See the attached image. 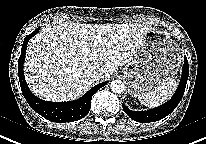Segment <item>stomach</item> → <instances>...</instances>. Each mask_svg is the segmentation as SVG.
<instances>
[{
    "label": "stomach",
    "instance_id": "1",
    "mask_svg": "<svg viewBox=\"0 0 206 144\" xmlns=\"http://www.w3.org/2000/svg\"><path fill=\"white\" fill-rule=\"evenodd\" d=\"M180 63L176 44L161 31L149 29L144 33L135 57L123 69L130 95L139 98L159 88L173 78Z\"/></svg>",
    "mask_w": 206,
    "mask_h": 144
}]
</instances>
